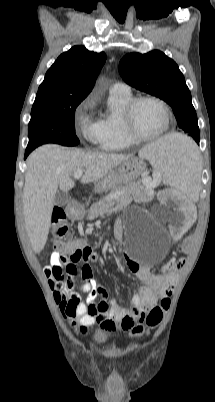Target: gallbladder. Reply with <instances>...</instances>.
<instances>
[{
    "instance_id": "gallbladder-1",
    "label": "gallbladder",
    "mask_w": 215,
    "mask_h": 402,
    "mask_svg": "<svg viewBox=\"0 0 215 402\" xmlns=\"http://www.w3.org/2000/svg\"><path fill=\"white\" fill-rule=\"evenodd\" d=\"M70 196L66 192H57L54 198V204L57 206H63L70 201Z\"/></svg>"
}]
</instances>
